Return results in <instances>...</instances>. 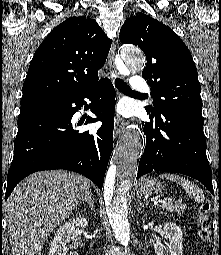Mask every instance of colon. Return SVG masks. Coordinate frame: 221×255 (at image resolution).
<instances>
[{
	"label": "colon",
	"instance_id": "5ec220e1",
	"mask_svg": "<svg viewBox=\"0 0 221 255\" xmlns=\"http://www.w3.org/2000/svg\"><path fill=\"white\" fill-rule=\"evenodd\" d=\"M210 212V205L207 202L200 205L197 212L198 235L203 243L209 242L212 235ZM201 255L205 254L202 253Z\"/></svg>",
	"mask_w": 221,
	"mask_h": 255
}]
</instances>
